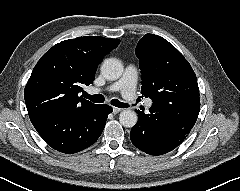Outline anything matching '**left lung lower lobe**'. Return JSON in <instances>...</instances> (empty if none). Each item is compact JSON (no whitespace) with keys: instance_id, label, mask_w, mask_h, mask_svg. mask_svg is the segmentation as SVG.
I'll list each match as a JSON object with an SVG mask.
<instances>
[{"instance_id":"1","label":"left lung lower lobe","mask_w":240,"mask_h":191,"mask_svg":"<svg viewBox=\"0 0 240 191\" xmlns=\"http://www.w3.org/2000/svg\"><path fill=\"white\" fill-rule=\"evenodd\" d=\"M137 113L138 122L131 130L130 139L135 147L150 155H162L180 145L198 117L189 114L169 120L139 110Z\"/></svg>"}]
</instances>
